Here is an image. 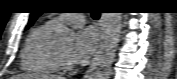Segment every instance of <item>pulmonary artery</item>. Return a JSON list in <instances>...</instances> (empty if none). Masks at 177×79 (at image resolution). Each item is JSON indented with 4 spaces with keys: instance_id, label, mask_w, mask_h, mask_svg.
<instances>
[{
    "instance_id": "1",
    "label": "pulmonary artery",
    "mask_w": 177,
    "mask_h": 79,
    "mask_svg": "<svg viewBox=\"0 0 177 79\" xmlns=\"http://www.w3.org/2000/svg\"><path fill=\"white\" fill-rule=\"evenodd\" d=\"M59 21H64L69 24H83L85 22L84 14H61L49 21L53 26L57 25Z\"/></svg>"
}]
</instances>
